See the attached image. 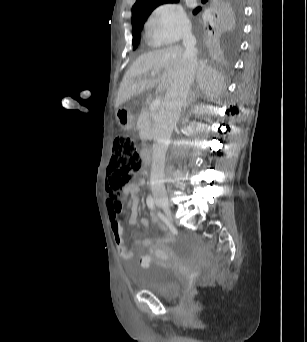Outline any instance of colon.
<instances>
[{
	"label": "colon",
	"mask_w": 307,
	"mask_h": 342,
	"mask_svg": "<svg viewBox=\"0 0 307 342\" xmlns=\"http://www.w3.org/2000/svg\"><path fill=\"white\" fill-rule=\"evenodd\" d=\"M141 166V157L136 142L129 136H119L113 146V155L107 170L106 189L111 199V207L120 202L125 185Z\"/></svg>",
	"instance_id": "5ec220e1"
}]
</instances>
